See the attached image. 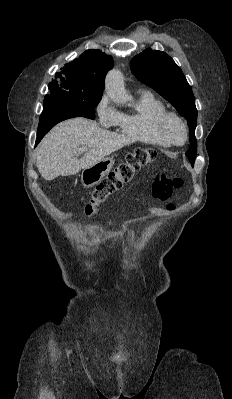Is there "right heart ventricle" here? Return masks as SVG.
<instances>
[{
  "mask_svg": "<svg viewBox=\"0 0 232 399\" xmlns=\"http://www.w3.org/2000/svg\"><path fill=\"white\" fill-rule=\"evenodd\" d=\"M166 111V106L152 95H143L135 110L120 115L117 122L119 133L133 141L150 146L168 149L172 146L156 130L155 121L159 114Z\"/></svg>",
  "mask_w": 232,
  "mask_h": 399,
  "instance_id": "obj_1",
  "label": "right heart ventricle"
}]
</instances>
